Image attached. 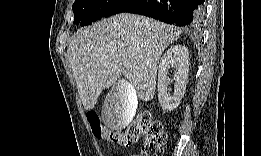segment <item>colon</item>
<instances>
[{
  "label": "colon",
  "mask_w": 261,
  "mask_h": 156,
  "mask_svg": "<svg viewBox=\"0 0 261 156\" xmlns=\"http://www.w3.org/2000/svg\"><path fill=\"white\" fill-rule=\"evenodd\" d=\"M89 122L94 134L108 142L119 145L123 148H130L138 144L142 137L145 142L141 148L143 156H161L166 137L163 125L159 120L152 118L148 111L140 113L138 118L124 130H110L103 126L95 113H90Z\"/></svg>",
  "instance_id": "5ec220e1"
}]
</instances>
